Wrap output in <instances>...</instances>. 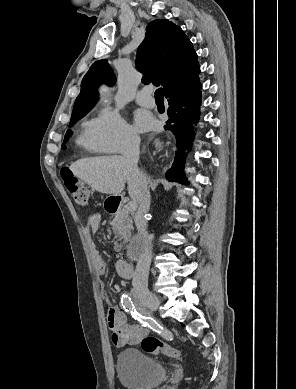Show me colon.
<instances>
[{"label": "colon", "instance_id": "obj_1", "mask_svg": "<svg viewBox=\"0 0 296 389\" xmlns=\"http://www.w3.org/2000/svg\"><path fill=\"white\" fill-rule=\"evenodd\" d=\"M62 180L77 205L87 208L90 205L91 192L87 185L76 178L68 168L61 170ZM97 263V262H96ZM141 348L150 354H163L169 357L180 358L181 351L173 348L156 337L145 336L141 340Z\"/></svg>", "mask_w": 296, "mask_h": 389}]
</instances>
